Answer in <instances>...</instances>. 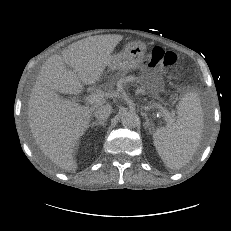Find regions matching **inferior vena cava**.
Wrapping results in <instances>:
<instances>
[{
  "instance_id": "inferior-vena-cava-1",
  "label": "inferior vena cava",
  "mask_w": 231,
  "mask_h": 231,
  "mask_svg": "<svg viewBox=\"0 0 231 231\" xmlns=\"http://www.w3.org/2000/svg\"><path fill=\"white\" fill-rule=\"evenodd\" d=\"M111 112H112V106L109 104H104L95 110L94 116L100 121L106 120L111 114Z\"/></svg>"
}]
</instances>
